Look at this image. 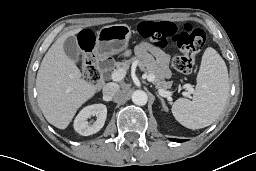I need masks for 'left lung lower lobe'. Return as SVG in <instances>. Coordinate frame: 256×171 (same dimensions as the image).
Listing matches in <instances>:
<instances>
[{"instance_id":"left-lung-lower-lobe-1","label":"left lung lower lobe","mask_w":256,"mask_h":171,"mask_svg":"<svg viewBox=\"0 0 256 171\" xmlns=\"http://www.w3.org/2000/svg\"><path fill=\"white\" fill-rule=\"evenodd\" d=\"M172 141H175V142H183L184 140L182 139H171Z\"/></svg>"}]
</instances>
